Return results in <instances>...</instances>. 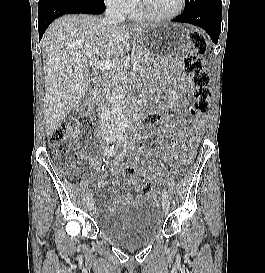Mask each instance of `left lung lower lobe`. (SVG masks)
I'll return each instance as SVG.
<instances>
[{
	"instance_id": "1",
	"label": "left lung lower lobe",
	"mask_w": 265,
	"mask_h": 273,
	"mask_svg": "<svg viewBox=\"0 0 265 273\" xmlns=\"http://www.w3.org/2000/svg\"><path fill=\"white\" fill-rule=\"evenodd\" d=\"M222 20L221 0H189L184 12L173 22L190 23L203 28L214 43L218 42Z\"/></svg>"
}]
</instances>
